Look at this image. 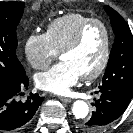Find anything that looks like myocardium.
Returning a JSON list of instances; mask_svg holds the SVG:
<instances>
[{"mask_svg": "<svg viewBox=\"0 0 133 133\" xmlns=\"http://www.w3.org/2000/svg\"><path fill=\"white\" fill-rule=\"evenodd\" d=\"M92 25H98L103 29L105 34V44L100 63L93 71L81 75L82 79L84 80H93L99 77L106 69L109 63L112 46V36L109 26L100 19L91 18L87 20L80 26V28L77 30L72 39L60 51V55L62 56L64 53L74 50L76 47H78L84 37L85 32Z\"/></svg>", "mask_w": 133, "mask_h": 133, "instance_id": "1", "label": "myocardium"}]
</instances>
